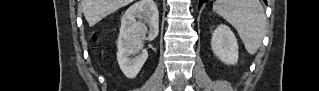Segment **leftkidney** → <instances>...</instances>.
<instances>
[{"label":"left kidney","mask_w":319,"mask_h":91,"mask_svg":"<svg viewBox=\"0 0 319 91\" xmlns=\"http://www.w3.org/2000/svg\"><path fill=\"white\" fill-rule=\"evenodd\" d=\"M212 50L222 62L234 65L238 61V43L234 33L225 25L220 24L212 33Z\"/></svg>","instance_id":"5707ae66"}]
</instances>
